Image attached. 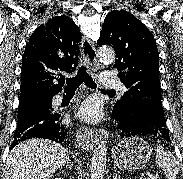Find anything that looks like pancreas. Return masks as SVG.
I'll return each mask as SVG.
<instances>
[{
  "label": "pancreas",
  "mask_w": 183,
  "mask_h": 179,
  "mask_svg": "<svg viewBox=\"0 0 183 179\" xmlns=\"http://www.w3.org/2000/svg\"><path fill=\"white\" fill-rule=\"evenodd\" d=\"M148 179H160V177L158 175H153L151 177H148Z\"/></svg>",
  "instance_id": "obj_1"
}]
</instances>
